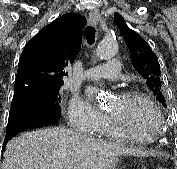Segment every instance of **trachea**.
I'll list each match as a JSON object with an SVG mask.
<instances>
[{"label": "trachea", "instance_id": "trachea-1", "mask_svg": "<svg viewBox=\"0 0 177 169\" xmlns=\"http://www.w3.org/2000/svg\"><path fill=\"white\" fill-rule=\"evenodd\" d=\"M85 36H86L87 43L89 45H92L95 41V29H94V27H91V26L86 27Z\"/></svg>", "mask_w": 177, "mask_h": 169}]
</instances>
